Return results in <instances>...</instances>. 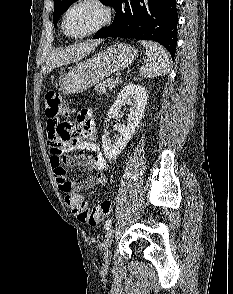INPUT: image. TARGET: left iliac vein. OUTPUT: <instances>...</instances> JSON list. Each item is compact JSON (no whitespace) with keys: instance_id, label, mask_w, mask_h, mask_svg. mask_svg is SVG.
<instances>
[{"instance_id":"left-iliac-vein-1","label":"left iliac vein","mask_w":233,"mask_h":294,"mask_svg":"<svg viewBox=\"0 0 233 294\" xmlns=\"http://www.w3.org/2000/svg\"><path fill=\"white\" fill-rule=\"evenodd\" d=\"M114 228H110L106 235H105V239L103 242V254H104V259L106 262H108L110 260V246L114 237Z\"/></svg>"}]
</instances>
